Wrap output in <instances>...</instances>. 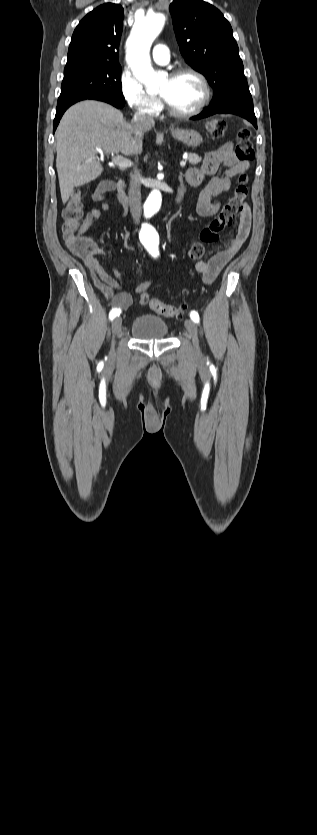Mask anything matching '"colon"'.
<instances>
[{"mask_svg": "<svg viewBox=\"0 0 317 835\" xmlns=\"http://www.w3.org/2000/svg\"><path fill=\"white\" fill-rule=\"evenodd\" d=\"M205 130L210 136L220 138L225 133L226 124L221 120L212 119L206 123ZM236 156L247 162L255 157L254 146L250 138V132L247 129H241L237 133ZM247 196V177L242 174L238 176L233 195L222 207L219 214L201 231L200 241L190 247L188 256L191 260L201 259L205 254L206 246L218 241L220 234L233 223L236 215L242 210ZM82 214V193L75 190L62 209V229L69 247L79 256L87 257L95 252L96 245L90 237L84 234L85 231H82ZM139 303L143 306H149L154 313L167 318H179L184 313L183 307L150 297L146 292L140 294Z\"/></svg>", "mask_w": 317, "mask_h": 835, "instance_id": "5ec220e1", "label": "colon"}]
</instances>
